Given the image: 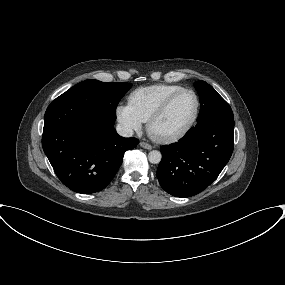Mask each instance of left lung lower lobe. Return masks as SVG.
<instances>
[{
    "label": "left lung lower lobe",
    "mask_w": 285,
    "mask_h": 285,
    "mask_svg": "<svg viewBox=\"0 0 285 285\" xmlns=\"http://www.w3.org/2000/svg\"><path fill=\"white\" fill-rule=\"evenodd\" d=\"M234 148V119L215 116L192 127L183 138L162 146L157 169L161 187L177 197L206 189L228 163Z\"/></svg>",
    "instance_id": "obj_1"
}]
</instances>
